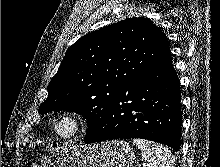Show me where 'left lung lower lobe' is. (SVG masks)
Masks as SVG:
<instances>
[{"instance_id": "left-lung-lower-lobe-1", "label": "left lung lower lobe", "mask_w": 220, "mask_h": 167, "mask_svg": "<svg viewBox=\"0 0 220 167\" xmlns=\"http://www.w3.org/2000/svg\"><path fill=\"white\" fill-rule=\"evenodd\" d=\"M180 100V83L170 55L117 92L100 130L84 142L142 138L179 151Z\"/></svg>"}]
</instances>
